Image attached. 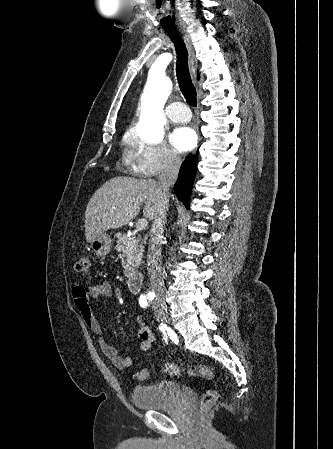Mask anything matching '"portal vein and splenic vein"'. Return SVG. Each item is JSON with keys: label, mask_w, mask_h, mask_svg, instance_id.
Segmentation results:
<instances>
[{"label": "portal vein and splenic vein", "mask_w": 333, "mask_h": 449, "mask_svg": "<svg viewBox=\"0 0 333 449\" xmlns=\"http://www.w3.org/2000/svg\"><path fill=\"white\" fill-rule=\"evenodd\" d=\"M147 226H148V222H147L146 219H140V220H138L137 223H136V228H137L138 230H143V229H145Z\"/></svg>", "instance_id": "portal-vein-and-splenic-vein-1"}]
</instances>
